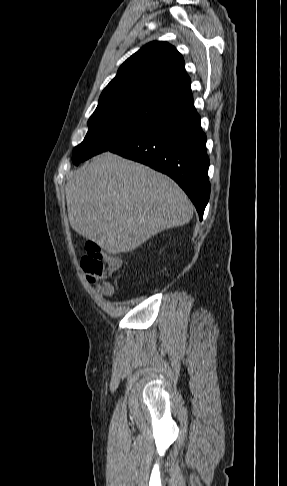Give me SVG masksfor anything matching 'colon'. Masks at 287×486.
Segmentation results:
<instances>
[{
    "label": "colon",
    "mask_w": 287,
    "mask_h": 486,
    "mask_svg": "<svg viewBox=\"0 0 287 486\" xmlns=\"http://www.w3.org/2000/svg\"><path fill=\"white\" fill-rule=\"evenodd\" d=\"M81 267L88 281L96 284L101 294L109 296L113 293V286L108 279L120 267L119 258L104 253L96 243L88 242Z\"/></svg>",
    "instance_id": "colon-1"
}]
</instances>
